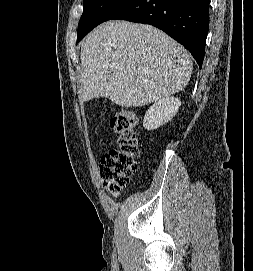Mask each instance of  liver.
<instances>
[{
	"label": "liver",
	"mask_w": 253,
	"mask_h": 271,
	"mask_svg": "<svg viewBox=\"0 0 253 271\" xmlns=\"http://www.w3.org/2000/svg\"><path fill=\"white\" fill-rule=\"evenodd\" d=\"M81 99H110L141 107L182 91L192 74L183 46L163 31L127 21H108L81 43Z\"/></svg>",
	"instance_id": "1"
}]
</instances>
